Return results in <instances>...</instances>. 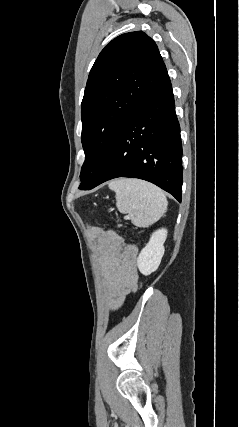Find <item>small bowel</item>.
<instances>
[{"instance_id":"c3829d8e","label":"small bowel","mask_w":239,"mask_h":427,"mask_svg":"<svg viewBox=\"0 0 239 427\" xmlns=\"http://www.w3.org/2000/svg\"><path fill=\"white\" fill-rule=\"evenodd\" d=\"M90 236L100 252L107 285V303L115 310L137 288V247L126 244L113 231L93 228Z\"/></svg>"}]
</instances>
